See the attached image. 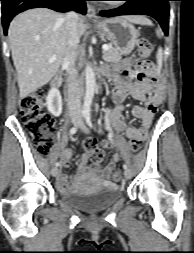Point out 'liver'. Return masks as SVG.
<instances>
[{
    "label": "liver",
    "mask_w": 194,
    "mask_h": 253,
    "mask_svg": "<svg viewBox=\"0 0 194 253\" xmlns=\"http://www.w3.org/2000/svg\"><path fill=\"white\" fill-rule=\"evenodd\" d=\"M131 23L150 25L141 15L126 16ZM87 25L78 17V35ZM8 39L14 66L18 75L20 98L47 84L58 72L69 46L64 15L47 8H35L17 15L10 23ZM55 55V60L49 59Z\"/></svg>",
    "instance_id": "liver-1"
}]
</instances>
